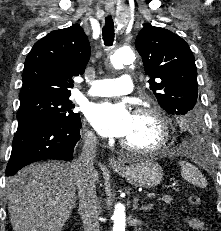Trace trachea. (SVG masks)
I'll return each mask as SVG.
<instances>
[{"label": "trachea", "mask_w": 221, "mask_h": 231, "mask_svg": "<svg viewBox=\"0 0 221 231\" xmlns=\"http://www.w3.org/2000/svg\"><path fill=\"white\" fill-rule=\"evenodd\" d=\"M114 22L111 16L105 18V25L102 29V36L106 46H112L114 42Z\"/></svg>", "instance_id": "1"}]
</instances>
